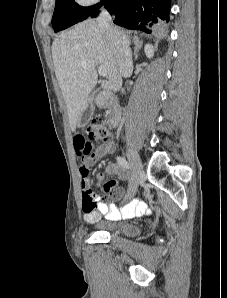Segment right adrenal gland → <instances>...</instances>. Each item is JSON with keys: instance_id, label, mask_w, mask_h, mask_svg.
<instances>
[{"instance_id": "2a0ac1e0", "label": "right adrenal gland", "mask_w": 227, "mask_h": 298, "mask_svg": "<svg viewBox=\"0 0 227 298\" xmlns=\"http://www.w3.org/2000/svg\"><path fill=\"white\" fill-rule=\"evenodd\" d=\"M133 43L135 45V47H134V60L136 61L137 58H138V52L142 48L143 42L142 41H139V39L135 37L133 39Z\"/></svg>"}]
</instances>
